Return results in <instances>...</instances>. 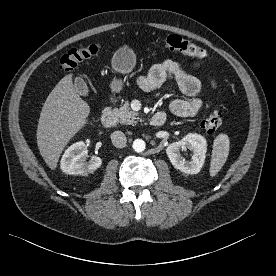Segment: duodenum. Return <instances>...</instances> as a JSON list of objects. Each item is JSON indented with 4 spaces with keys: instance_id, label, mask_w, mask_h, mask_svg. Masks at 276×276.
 Wrapping results in <instances>:
<instances>
[{
    "instance_id": "obj_1",
    "label": "duodenum",
    "mask_w": 276,
    "mask_h": 276,
    "mask_svg": "<svg viewBox=\"0 0 276 276\" xmlns=\"http://www.w3.org/2000/svg\"><path fill=\"white\" fill-rule=\"evenodd\" d=\"M166 121V116L162 112H158L154 114L150 120L149 123L152 127H161L164 125ZM101 122L105 127L111 128L116 126L117 124V117L115 113L110 108H106L102 115H101Z\"/></svg>"
}]
</instances>
